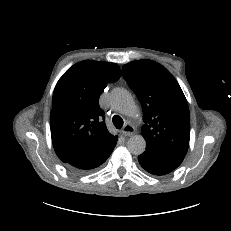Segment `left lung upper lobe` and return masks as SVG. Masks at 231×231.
Segmentation results:
<instances>
[{"label": "left lung upper lobe", "instance_id": "1", "mask_svg": "<svg viewBox=\"0 0 231 231\" xmlns=\"http://www.w3.org/2000/svg\"><path fill=\"white\" fill-rule=\"evenodd\" d=\"M122 75L142 105L146 149L184 158L189 147L190 114L174 76L151 60L125 64Z\"/></svg>", "mask_w": 231, "mask_h": 231}]
</instances>
